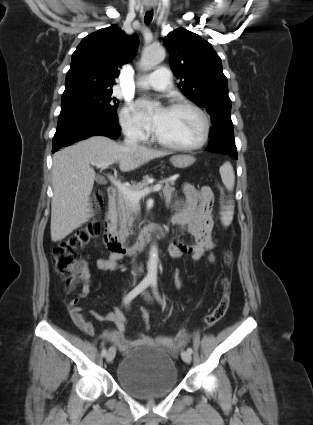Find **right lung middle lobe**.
<instances>
[{"instance_id":"1","label":"right lung middle lobe","mask_w":313,"mask_h":425,"mask_svg":"<svg viewBox=\"0 0 313 425\" xmlns=\"http://www.w3.org/2000/svg\"><path fill=\"white\" fill-rule=\"evenodd\" d=\"M112 89H83L63 93L62 104L73 102L102 109L116 114L119 105L117 98L112 96Z\"/></svg>"}]
</instances>
